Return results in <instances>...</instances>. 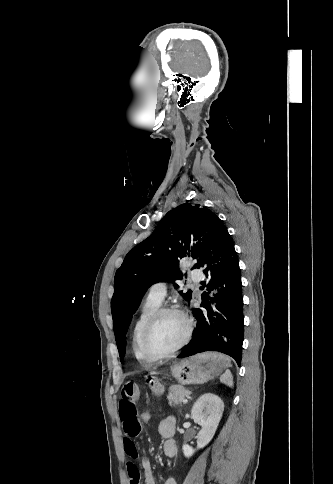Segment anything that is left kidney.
I'll list each match as a JSON object with an SVG mask.
<instances>
[{"mask_svg":"<svg viewBox=\"0 0 333 484\" xmlns=\"http://www.w3.org/2000/svg\"><path fill=\"white\" fill-rule=\"evenodd\" d=\"M224 411V403L213 393H205L193 405L191 416L202 428L197 436V447L183 445L185 457L190 458L196 450L204 448L213 438Z\"/></svg>","mask_w":333,"mask_h":484,"instance_id":"1","label":"left kidney"}]
</instances>
